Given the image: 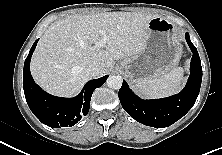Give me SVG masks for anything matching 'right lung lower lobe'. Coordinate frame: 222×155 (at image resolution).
<instances>
[{
  "mask_svg": "<svg viewBox=\"0 0 222 155\" xmlns=\"http://www.w3.org/2000/svg\"><path fill=\"white\" fill-rule=\"evenodd\" d=\"M38 40L31 47L24 63L23 88L28 106L33 114L49 127L73 126L83 115H87L93 90L101 87L108 75L90 80L74 98L52 96L34 82L30 73V60Z\"/></svg>",
  "mask_w": 222,
  "mask_h": 155,
  "instance_id": "obj_1",
  "label": "right lung lower lobe"
}]
</instances>
